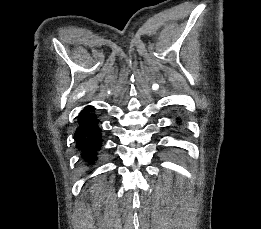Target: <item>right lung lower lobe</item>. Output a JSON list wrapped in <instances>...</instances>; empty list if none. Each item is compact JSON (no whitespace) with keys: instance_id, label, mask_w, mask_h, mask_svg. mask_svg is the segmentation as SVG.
<instances>
[{"instance_id":"98d812e1","label":"right lung lower lobe","mask_w":261,"mask_h":229,"mask_svg":"<svg viewBox=\"0 0 261 229\" xmlns=\"http://www.w3.org/2000/svg\"><path fill=\"white\" fill-rule=\"evenodd\" d=\"M94 108L87 106L78 116L79 125L75 131L76 148L81 152V160L88 166L97 159V152L102 146L101 129L94 114Z\"/></svg>"}]
</instances>
